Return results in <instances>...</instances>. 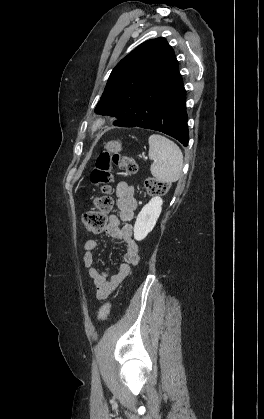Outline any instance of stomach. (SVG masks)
Returning a JSON list of instances; mask_svg holds the SVG:
<instances>
[{
	"instance_id": "obj_1",
	"label": "stomach",
	"mask_w": 264,
	"mask_h": 419,
	"mask_svg": "<svg viewBox=\"0 0 264 419\" xmlns=\"http://www.w3.org/2000/svg\"><path fill=\"white\" fill-rule=\"evenodd\" d=\"M105 149L109 152V153H118L121 151V143L118 141H109L106 145H105Z\"/></svg>"
}]
</instances>
